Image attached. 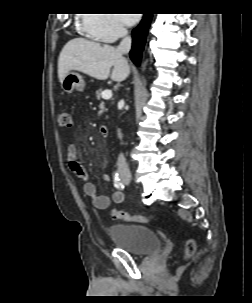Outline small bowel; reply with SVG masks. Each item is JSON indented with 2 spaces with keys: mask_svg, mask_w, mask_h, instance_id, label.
Returning <instances> with one entry per match:
<instances>
[{
  "mask_svg": "<svg viewBox=\"0 0 252 303\" xmlns=\"http://www.w3.org/2000/svg\"><path fill=\"white\" fill-rule=\"evenodd\" d=\"M66 162L69 171L84 181L83 193L91 200L92 205L96 209H108L112 203H120L124 200V194L122 191H116L112 197L97 193L95 185L88 181V173L78 162V150L75 144L68 145ZM102 179L106 184L111 182V178L107 174L103 175Z\"/></svg>",
  "mask_w": 252,
  "mask_h": 303,
  "instance_id": "small-bowel-1",
  "label": "small bowel"
}]
</instances>
